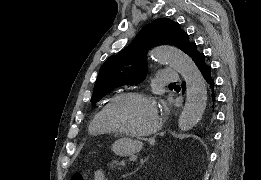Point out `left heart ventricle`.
I'll list each match as a JSON object with an SVG mask.
<instances>
[{
	"mask_svg": "<svg viewBox=\"0 0 261 180\" xmlns=\"http://www.w3.org/2000/svg\"><path fill=\"white\" fill-rule=\"evenodd\" d=\"M157 104L149 99L131 97L120 100L108 110L115 128L124 134L142 135L154 126Z\"/></svg>",
	"mask_w": 261,
	"mask_h": 180,
	"instance_id": "b2bd125f",
	"label": "left heart ventricle"
}]
</instances>
